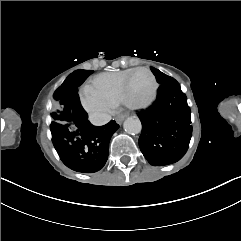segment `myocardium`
Instances as JSON below:
<instances>
[{
	"instance_id": "1",
	"label": "myocardium",
	"mask_w": 241,
	"mask_h": 241,
	"mask_svg": "<svg viewBox=\"0 0 241 241\" xmlns=\"http://www.w3.org/2000/svg\"><path fill=\"white\" fill-rule=\"evenodd\" d=\"M140 73H142V74H145L146 76H148V77H150L151 78V80H152V82H153V96H152V98L149 100V101H147V103H141L140 105H138V106H136L135 108H141V109H148V108H150V106H152V102H154V100L158 97V95H159V87H160V83H159V81H158V78H157V76H156V74L155 73H153V71H151V70H148V69H146V68H143V67H140V66H138V67H136L135 68V70H134V72L133 73H131V74H129V78H127L126 80H125V82H124V85H123V87H122V89H121V91H122V93H124V94H122V95H120V97H119V103H121V104H123V103H125V101L126 102H128V97H129V86H130V84H131V82H132V80H133V78L135 77V76H137V75H139Z\"/></svg>"
}]
</instances>
